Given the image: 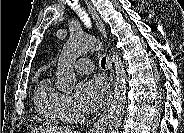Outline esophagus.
Wrapping results in <instances>:
<instances>
[{"label":"esophagus","instance_id":"1","mask_svg":"<svg viewBox=\"0 0 184 133\" xmlns=\"http://www.w3.org/2000/svg\"><path fill=\"white\" fill-rule=\"evenodd\" d=\"M89 12L92 15L93 20L95 21L97 27L99 28V30L101 31V33L103 34V36L106 38L107 37V33L105 30V27L103 25V22L101 21L99 15L97 14L96 10L90 5V3H86ZM107 68L110 71V82H111V91H110V99L112 98V89H113V68H112V63H111V59L110 56H107ZM106 111L101 115V117L97 120V122L94 124V127L92 128V132H99L104 120H105V116H106Z\"/></svg>","mask_w":184,"mask_h":133}]
</instances>
